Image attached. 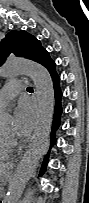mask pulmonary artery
Returning <instances> with one entry per match:
<instances>
[{"mask_svg":"<svg viewBox=\"0 0 89 203\" xmlns=\"http://www.w3.org/2000/svg\"><path fill=\"white\" fill-rule=\"evenodd\" d=\"M25 84L22 80L8 82L0 92V107L4 108L6 104L15 98L23 90Z\"/></svg>","mask_w":89,"mask_h":203,"instance_id":"pulmonary-artery-1","label":"pulmonary artery"}]
</instances>
